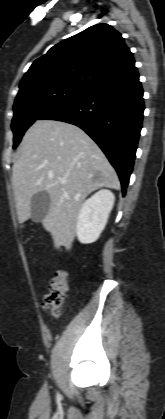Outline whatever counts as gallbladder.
Returning <instances> with one entry per match:
<instances>
[{"label": "gallbladder", "mask_w": 165, "mask_h": 419, "mask_svg": "<svg viewBox=\"0 0 165 419\" xmlns=\"http://www.w3.org/2000/svg\"><path fill=\"white\" fill-rule=\"evenodd\" d=\"M51 199L47 192H38L31 198V219L34 222H41L49 211Z\"/></svg>", "instance_id": "gallbladder-1"}]
</instances>
